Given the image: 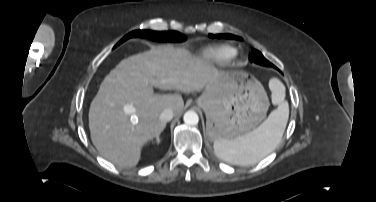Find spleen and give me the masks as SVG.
Instances as JSON below:
<instances>
[{"instance_id": "obj_1", "label": "spleen", "mask_w": 376, "mask_h": 202, "mask_svg": "<svg viewBox=\"0 0 376 202\" xmlns=\"http://www.w3.org/2000/svg\"><path fill=\"white\" fill-rule=\"evenodd\" d=\"M272 103L278 105L255 130L231 140H216L214 152L222 160L235 165H253L270 154L280 143L289 117L284 101L285 89L278 79L270 81Z\"/></svg>"}]
</instances>
